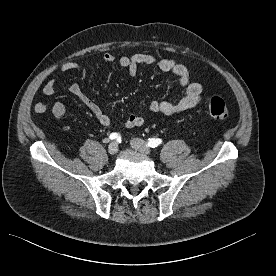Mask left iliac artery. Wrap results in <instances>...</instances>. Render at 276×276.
Segmentation results:
<instances>
[{"label":"left iliac artery","mask_w":276,"mask_h":276,"mask_svg":"<svg viewBox=\"0 0 276 276\" xmlns=\"http://www.w3.org/2000/svg\"><path fill=\"white\" fill-rule=\"evenodd\" d=\"M161 143H162V140L159 139V138L148 139V146L152 147V148H155V147L159 146Z\"/></svg>","instance_id":"obj_1"}]
</instances>
